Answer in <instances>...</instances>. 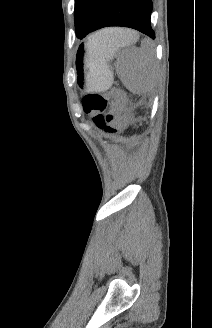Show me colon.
Here are the masks:
<instances>
[{
    "label": "colon",
    "mask_w": 212,
    "mask_h": 328,
    "mask_svg": "<svg viewBox=\"0 0 212 328\" xmlns=\"http://www.w3.org/2000/svg\"><path fill=\"white\" fill-rule=\"evenodd\" d=\"M83 109L93 124L108 135L119 130L116 113L126 105V98L121 90L111 89L105 93H89L83 98Z\"/></svg>",
    "instance_id": "colon-1"
}]
</instances>
